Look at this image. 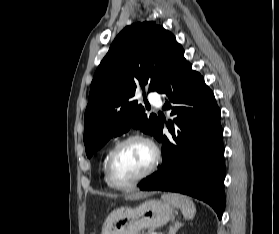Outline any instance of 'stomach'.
<instances>
[{
	"label": "stomach",
	"instance_id": "0dacf381",
	"mask_svg": "<svg viewBox=\"0 0 279 234\" xmlns=\"http://www.w3.org/2000/svg\"><path fill=\"white\" fill-rule=\"evenodd\" d=\"M174 214V207L159 200H149L136 208L122 207L106 218L101 234H140L144 229L162 227Z\"/></svg>",
	"mask_w": 279,
	"mask_h": 234
}]
</instances>
